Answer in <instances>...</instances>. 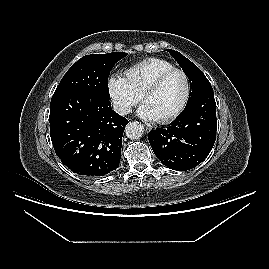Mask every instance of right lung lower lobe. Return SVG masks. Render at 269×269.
Segmentation results:
<instances>
[{"label":"right lung lower lobe","instance_id":"right-lung-lower-lobe-1","mask_svg":"<svg viewBox=\"0 0 269 269\" xmlns=\"http://www.w3.org/2000/svg\"><path fill=\"white\" fill-rule=\"evenodd\" d=\"M49 123L56 155L74 173L95 177L118 168L128 120L109 99L80 91L54 94Z\"/></svg>","mask_w":269,"mask_h":269}]
</instances>
